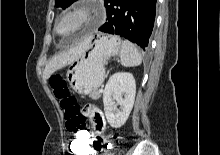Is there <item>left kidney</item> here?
<instances>
[{
  "label": "left kidney",
  "mask_w": 220,
  "mask_h": 155,
  "mask_svg": "<svg viewBox=\"0 0 220 155\" xmlns=\"http://www.w3.org/2000/svg\"><path fill=\"white\" fill-rule=\"evenodd\" d=\"M135 94L136 83L131 73L117 72L109 78L103 92V104L111 127L120 128L124 125L133 108Z\"/></svg>",
  "instance_id": "5707ae66"
}]
</instances>
